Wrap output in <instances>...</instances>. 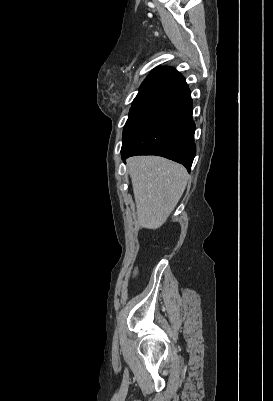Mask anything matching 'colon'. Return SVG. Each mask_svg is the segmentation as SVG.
<instances>
[{
    "label": "colon",
    "instance_id": "colon-1",
    "mask_svg": "<svg viewBox=\"0 0 273 401\" xmlns=\"http://www.w3.org/2000/svg\"><path fill=\"white\" fill-rule=\"evenodd\" d=\"M132 267H133V274H138V270L142 269L143 264L141 261H134ZM130 285H135V280H130Z\"/></svg>",
    "mask_w": 273,
    "mask_h": 401
}]
</instances>
